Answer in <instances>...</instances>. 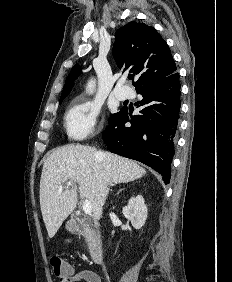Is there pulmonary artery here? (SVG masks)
<instances>
[{"label":"pulmonary artery","mask_w":232,"mask_h":282,"mask_svg":"<svg viewBox=\"0 0 232 282\" xmlns=\"http://www.w3.org/2000/svg\"><path fill=\"white\" fill-rule=\"evenodd\" d=\"M116 98L118 100H125L132 96V93L130 89L123 85V83L118 84V86L115 88L114 92Z\"/></svg>","instance_id":"pulmonary-artery-1"}]
</instances>
